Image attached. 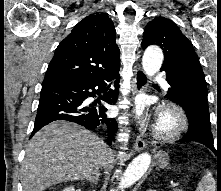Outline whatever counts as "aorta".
<instances>
[{
    "label": "aorta",
    "mask_w": 221,
    "mask_h": 191,
    "mask_svg": "<svg viewBox=\"0 0 221 191\" xmlns=\"http://www.w3.org/2000/svg\"><path fill=\"white\" fill-rule=\"evenodd\" d=\"M162 50L157 46H149L142 58V66L145 73L149 76L156 74L163 63ZM151 163V156L142 153L132 160L123 174L119 187L128 188L137 182L147 171Z\"/></svg>",
    "instance_id": "1"
}]
</instances>
